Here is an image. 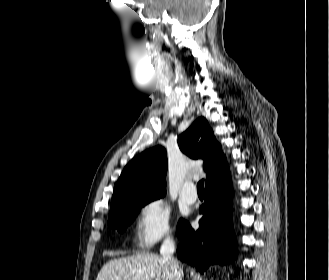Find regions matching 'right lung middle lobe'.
<instances>
[{"label": "right lung middle lobe", "instance_id": "right-lung-middle-lobe-1", "mask_svg": "<svg viewBox=\"0 0 329 280\" xmlns=\"http://www.w3.org/2000/svg\"><path fill=\"white\" fill-rule=\"evenodd\" d=\"M160 197L162 196L127 201L115 211L109 213L108 225L116 228L120 232H124L127 226L132 223L141 207Z\"/></svg>", "mask_w": 329, "mask_h": 280}]
</instances>
